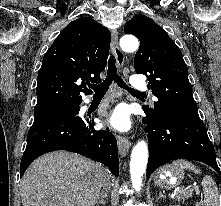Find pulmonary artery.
Instances as JSON below:
<instances>
[{
	"label": "pulmonary artery",
	"instance_id": "pulmonary-artery-1",
	"mask_svg": "<svg viewBox=\"0 0 221 206\" xmlns=\"http://www.w3.org/2000/svg\"><path fill=\"white\" fill-rule=\"evenodd\" d=\"M130 85L134 90H146L147 82L141 75H132L130 78Z\"/></svg>",
	"mask_w": 221,
	"mask_h": 206
}]
</instances>
